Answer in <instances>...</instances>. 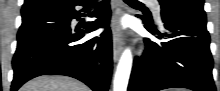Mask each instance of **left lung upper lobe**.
I'll list each match as a JSON object with an SVG mask.
<instances>
[{
  "mask_svg": "<svg viewBox=\"0 0 220 91\" xmlns=\"http://www.w3.org/2000/svg\"><path fill=\"white\" fill-rule=\"evenodd\" d=\"M162 10L167 9L180 14L206 20L204 0H159Z\"/></svg>",
  "mask_w": 220,
  "mask_h": 91,
  "instance_id": "1",
  "label": "left lung upper lobe"
}]
</instances>
